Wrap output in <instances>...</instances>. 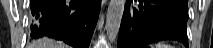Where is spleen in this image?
<instances>
[{"label": "spleen", "instance_id": "obj_1", "mask_svg": "<svg viewBox=\"0 0 213 48\" xmlns=\"http://www.w3.org/2000/svg\"><path fill=\"white\" fill-rule=\"evenodd\" d=\"M155 48H175V46H172L168 43H159L156 45Z\"/></svg>", "mask_w": 213, "mask_h": 48}]
</instances>
